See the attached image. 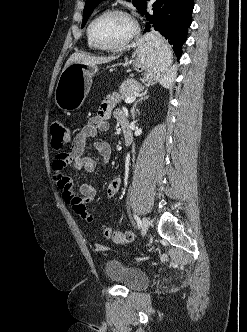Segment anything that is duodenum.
<instances>
[{"label":"duodenum","instance_id":"duodenum-1","mask_svg":"<svg viewBox=\"0 0 247 332\" xmlns=\"http://www.w3.org/2000/svg\"><path fill=\"white\" fill-rule=\"evenodd\" d=\"M118 121L122 129L124 144L125 146H129L131 144V132L129 130L127 118L126 116H122L118 119Z\"/></svg>","mask_w":247,"mask_h":332}]
</instances>
